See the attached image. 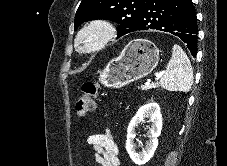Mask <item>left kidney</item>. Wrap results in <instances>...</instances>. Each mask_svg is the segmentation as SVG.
I'll list each match as a JSON object with an SVG mask.
<instances>
[{"label": "left kidney", "mask_w": 227, "mask_h": 166, "mask_svg": "<svg viewBox=\"0 0 227 166\" xmlns=\"http://www.w3.org/2000/svg\"><path fill=\"white\" fill-rule=\"evenodd\" d=\"M150 118L151 128L149 129V141L142 150V152L137 153L134 144V138L136 136L135 128L140 122L144 121V118ZM162 129V115L160 112V107L157 103L152 102L140 107L136 115L132 118L128 128H127V141L126 150L131 158V160L137 165H143L148 162L154 155L158 145V137L161 134Z\"/></svg>", "instance_id": "1"}]
</instances>
